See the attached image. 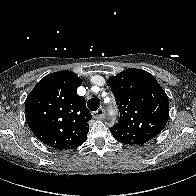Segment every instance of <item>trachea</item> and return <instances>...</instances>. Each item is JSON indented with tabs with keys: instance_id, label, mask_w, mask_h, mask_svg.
<instances>
[{
	"instance_id": "trachea-1",
	"label": "trachea",
	"mask_w": 196,
	"mask_h": 196,
	"mask_svg": "<svg viewBox=\"0 0 196 196\" xmlns=\"http://www.w3.org/2000/svg\"><path fill=\"white\" fill-rule=\"evenodd\" d=\"M100 106V100L97 97L91 98L90 100H88L87 102V107L91 110V111H96Z\"/></svg>"
}]
</instances>
